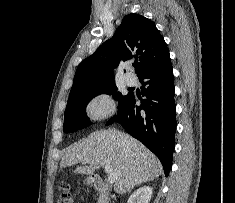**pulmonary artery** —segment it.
<instances>
[{
	"instance_id": "obj_1",
	"label": "pulmonary artery",
	"mask_w": 235,
	"mask_h": 203,
	"mask_svg": "<svg viewBox=\"0 0 235 203\" xmlns=\"http://www.w3.org/2000/svg\"><path fill=\"white\" fill-rule=\"evenodd\" d=\"M124 80H125V83L128 85V86H134L137 84V78L131 74V73H127L125 76H124Z\"/></svg>"
}]
</instances>
